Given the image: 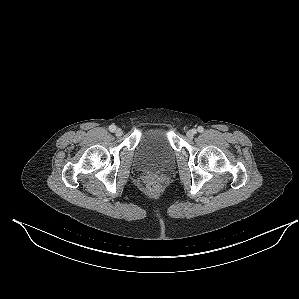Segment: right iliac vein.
Masks as SVG:
<instances>
[{"mask_svg":"<svg viewBox=\"0 0 299 299\" xmlns=\"http://www.w3.org/2000/svg\"><path fill=\"white\" fill-rule=\"evenodd\" d=\"M115 134L117 137H120L123 134L122 129H120V128L116 129Z\"/></svg>","mask_w":299,"mask_h":299,"instance_id":"1","label":"right iliac vein"}]
</instances>
